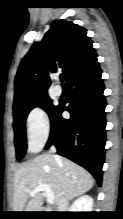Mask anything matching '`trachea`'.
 Returning <instances> with one entry per match:
<instances>
[{"label":"trachea","mask_w":123,"mask_h":219,"mask_svg":"<svg viewBox=\"0 0 123 219\" xmlns=\"http://www.w3.org/2000/svg\"><path fill=\"white\" fill-rule=\"evenodd\" d=\"M61 81H62V82L64 81V76H61Z\"/></svg>","instance_id":"obj_1"}]
</instances>
